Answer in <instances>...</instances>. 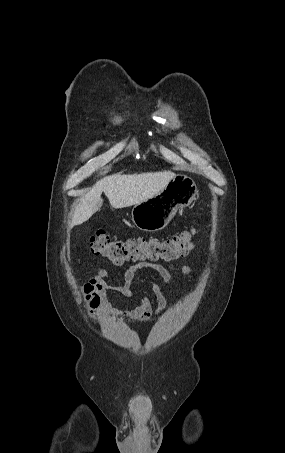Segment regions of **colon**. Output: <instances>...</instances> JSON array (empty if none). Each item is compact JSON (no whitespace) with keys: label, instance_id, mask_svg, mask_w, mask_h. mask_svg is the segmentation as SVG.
Here are the masks:
<instances>
[{"label":"colon","instance_id":"5ec220e1","mask_svg":"<svg viewBox=\"0 0 285 453\" xmlns=\"http://www.w3.org/2000/svg\"><path fill=\"white\" fill-rule=\"evenodd\" d=\"M195 229L182 231L168 238L135 237L112 240L103 230H97L90 239L93 254L107 257L116 264L126 261H170L186 256L194 247Z\"/></svg>","mask_w":285,"mask_h":453}]
</instances>
